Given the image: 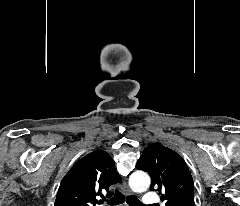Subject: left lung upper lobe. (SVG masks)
<instances>
[{"label":"left lung upper lobe","mask_w":240,"mask_h":206,"mask_svg":"<svg viewBox=\"0 0 240 206\" xmlns=\"http://www.w3.org/2000/svg\"><path fill=\"white\" fill-rule=\"evenodd\" d=\"M137 169L151 176V190L161 193L166 206H194L193 180L184 160L173 150L159 144L148 145Z\"/></svg>","instance_id":"obj_1"}]
</instances>
